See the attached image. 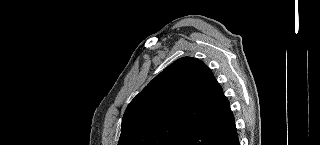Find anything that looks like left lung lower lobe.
<instances>
[{
	"label": "left lung lower lobe",
	"instance_id": "1",
	"mask_svg": "<svg viewBox=\"0 0 320 145\" xmlns=\"http://www.w3.org/2000/svg\"><path fill=\"white\" fill-rule=\"evenodd\" d=\"M210 93L211 110L186 133L180 145H240L229 101L215 77L210 84Z\"/></svg>",
	"mask_w": 320,
	"mask_h": 145
}]
</instances>
